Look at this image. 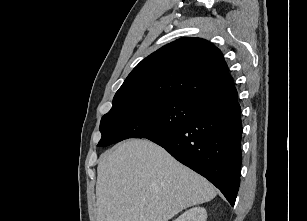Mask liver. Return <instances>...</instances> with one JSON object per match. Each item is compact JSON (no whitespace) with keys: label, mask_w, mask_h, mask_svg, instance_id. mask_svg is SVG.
Here are the masks:
<instances>
[{"label":"liver","mask_w":307,"mask_h":221,"mask_svg":"<svg viewBox=\"0 0 307 221\" xmlns=\"http://www.w3.org/2000/svg\"><path fill=\"white\" fill-rule=\"evenodd\" d=\"M216 194L210 182L149 140L124 141L99 158L97 221H168Z\"/></svg>","instance_id":"6515ba94"}]
</instances>
